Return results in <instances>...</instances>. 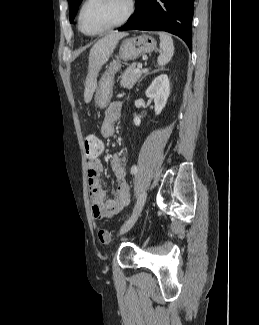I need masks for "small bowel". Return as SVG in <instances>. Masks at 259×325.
Returning <instances> with one entry per match:
<instances>
[{"label": "small bowel", "mask_w": 259, "mask_h": 325, "mask_svg": "<svg viewBox=\"0 0 259 325\" xmlns=\"http://www.w3.org/2000/svg\"><path fill=\"white\" fill-rule=\"evenodd\" d=\"M122 102L113 101L105 111L101 124V136L109 138L115 133V123L121 115ZM103 150L86 153L88 160L87 181L91 211L96 219L111 218L119 214L130 202L129 183L126 179L125 160L122 154L114 153L110 158V165L114 173L117 188L113 198H109L99 182V175L103 170L100 155Z\"/></svg>", "instance_id": "obj_1"}]
</instances>
